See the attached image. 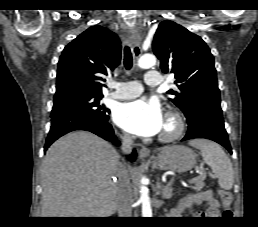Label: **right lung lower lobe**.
Listing matches in <instances>:
<instances>
[{
    "mask_svg": "<svg viewBox=\"0 0 258 227\" xmlns=\"http://www.w3.org/2000/svg\"><path fill=\"white\" fill-rule=\"evenodd\" d=\"M74 130L90 131L111 143L119 144L117 136L108 120L101 121L75 110H59L51 113V128L46 139L44 151L59 137ZM135 157L136 152L134 151L128 156V159L134 160Z\"/></svg>",
    "mask_w": 258,
    "mask_h": 227,
    "instance_id": "1",
    "label": "right lung lower lobe"
}]
</instances>
